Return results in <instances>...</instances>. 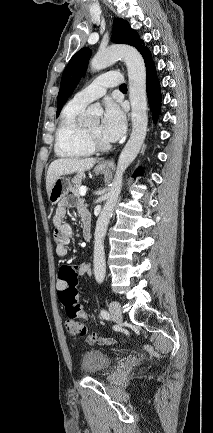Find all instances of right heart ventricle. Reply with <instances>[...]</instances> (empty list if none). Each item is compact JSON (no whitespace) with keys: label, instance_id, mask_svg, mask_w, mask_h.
<instances>
[{"label":"right heart ventricle","instance_id":"obj_1","mask_svg":"<svg viewBox=\"0 0 213 433\" xmlns=\"http://www.w3.org/2000/svg\"><path fill=\"white\" fill-rule=\"evenodd\" d=\"M84 106L69 102L63 109L56 131L55 151L61 157H86L94 153L85 129L78 123V116Z\"/></svg>","mask_w":213,"mask_h":433}]
</instances>
